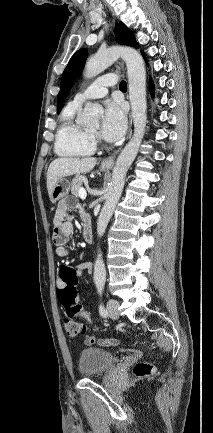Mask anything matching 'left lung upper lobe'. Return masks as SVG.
<instances>
[{"label":"left lung upper lobe","instance_id":"obj_1","mask_svg":"<svg viewBox=\"0 0 213 433\" xmlns=\"http://www.w3.org/2000/svg\"><path fill=\"white\" fill-rule=\"evenodd\" d=\"M116 41L119 44L132 46L138 48L139 45L130 29L122 22L116 23L115 26ZM88 56L87 49L83 48L78 50L69 60L65 68L60 85V91L57 97V110L60 112L63 101L69 94L76 76L83 70L86 58Z\"/></svg>","mask_w":213,"mask_h":433}]
</instances>
